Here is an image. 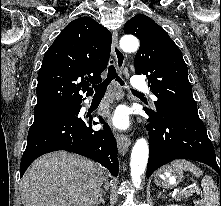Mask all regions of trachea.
Here are the masks:
<instances>
[{"label":"trachea","instance_id":"trachea-1","mask_svg":"<svg viewBox=\"0 0 221 206\" xmlns=\"http://www.w3.org/2000/svg\"><path fill=\"white\" fill-rule=\"evenodd\" d=\"M111 63H113V61H111ZM114 79H115V81H118L120 83V85H122V86L124 85V82L117 75L116 69H115L114 65L111 64L109 66L108 75H107V78L105 79V81H103V83H101L99 85H93V88L95 89V96H97V97L104 96V94H105V92L107 90L108 85ZM131 91L134 92V93H139V92H137V91H135L133 89H131Z\"/></svg>","mask_w":221,"mask_h":206}]
</instances>
